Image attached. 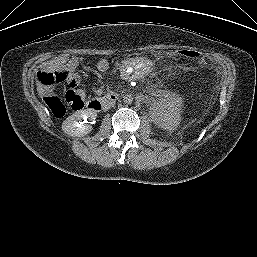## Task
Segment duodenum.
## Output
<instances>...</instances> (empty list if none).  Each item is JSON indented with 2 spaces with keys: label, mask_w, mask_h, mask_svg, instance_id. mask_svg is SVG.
<instances>
[{
  "label": "duodenum",
  "mask_w": 257,
  "mask_h": 257,
  "mask_svg": "<svg viewBox=\"0 0 257 257\" xmlns=\"http://www.w3.org/2000/svg\"><path fill=\"white\" fill-rule=\"evenodd\" d=\"M119 99V95L115 92H109L102 97L88 101L87 108L90 111L98 112L102 109H107Z\"/></svg>",
  "instance_id": "duodenum-1"
}]
</instances>
